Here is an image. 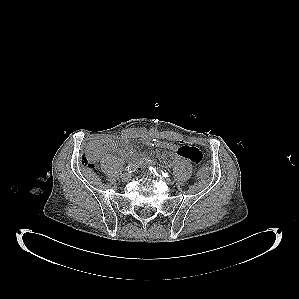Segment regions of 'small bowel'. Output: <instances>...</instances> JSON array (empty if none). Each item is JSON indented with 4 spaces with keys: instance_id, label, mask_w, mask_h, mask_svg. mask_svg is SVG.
I'll use <instances>...</instances> for the list:
<instances>
[{
    "instance_id": "obj_1",
    "label": "small bowel",
    "mask_w": 299,
    "mask_h": 299,
    "mask_svg": "<svg viewBox=\"0 0 299 299\" xmlns=\"http://www.w3.org/2000/svg\"><path fill=\"white\" fill-rule=\"evenodd\" d=\"M144 144L148 146L157 147L160 149L169 150L179 158L187 159L197 165H200L203 162V154L202 152L189 144L176 145L168 141L158 140L154 138H144ZM104 150L107 152H119L123 157L130 158H139L141 163H147L148 159L145 156L139 157L137 153L128 146L127 143L118 144L114 140H108L104 142Z\"/></svg>"
}]
</instances>
